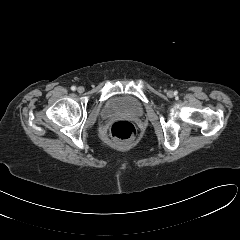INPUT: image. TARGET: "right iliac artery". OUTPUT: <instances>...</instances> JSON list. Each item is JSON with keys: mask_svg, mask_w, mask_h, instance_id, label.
Listing matches in <instances>:
<instances>
[{"mask_svg": "<svg viewBox=\"0 0 240 240\" xmlns=\"http://www.w3.org/2000/svg\"><path fill=\"white\" fill-rule=\"evenodd\" d=\"M71 90H72V91H75V90H76V87H75V86H72V87H71Z\"/></svg>", "mask_w": 240, "mask_h": 240, "instance_id": "82829eb1", "label": "right iliac artery"}]
</instances>
